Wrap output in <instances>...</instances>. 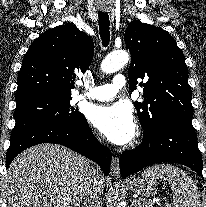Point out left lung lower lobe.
<instances>
[{"label": "left lung lower lobe", "instance_id": "0a47b994", "mask_svg": "<svg viewBox=\"0 0 206 207\" xmlns=\"http://www.w3.org/2000/svg\"><path fill=\"white\" fill-rule=\"evenodd\" d=\"M174 162L195 170L202 178V157L192 119H171L160 124L152 133L144 135L142 143L120 157L122 177L134 174L144 167Z\"/></svg>", "mask_w": 206, "mask_h": 207}]
</instances>
